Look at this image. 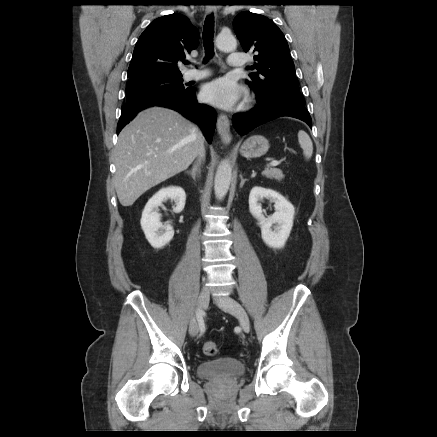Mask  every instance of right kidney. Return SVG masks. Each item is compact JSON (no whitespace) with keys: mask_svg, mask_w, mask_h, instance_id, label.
<instances>
[{"mask_svg":"<svg viewBox=\"0 0 437 437\" xmlns=\"http://www.w3.org/2000/svg\"><path fill=\"white\" fill-rule=\"evenodd\" d=\"M168 199L174 201L173 211L175 213H180L184 209L186 201L184 189L178 186H170L160 189L153 195L142 212L141 228L150 245L156 249L163 248L174 236L173 227L170 224L163 225L160 222L161 215L158 213V207Z\"/></svg>","mask_w":437,"mask_h":437,"instance_id":"ca27d5eb","label":"right kidney"}]
</instances>
